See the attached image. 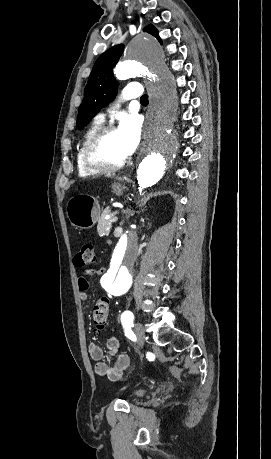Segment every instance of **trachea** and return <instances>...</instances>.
Returning a JSON list of instances; mask_svg holds the SVG:
<instances>
[{"label": "trachea", "instance_id": "obj_1", "mask_svg": "<svg viewBox=\"0 0 271 459\" xmlns=\"http://www.w3.org/2000/svg\"><path fill=\"white\" fill-rule=\"evenodd\" d=\"M140 102L144 105H147L148 104V95L144 94L142 95V97L140 98Z\"/></svg>", "mask_w": 271, "mask_h": 459}]
</instances>
